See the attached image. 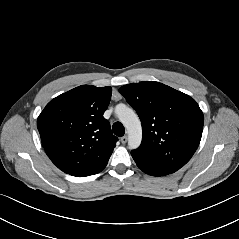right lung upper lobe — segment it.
<instances>
[{
	"label": "right lung upper lobe",
	"instance_id": "right-lung-upper-lobe-1",
	"mask_svg": "<svg viewBox=\"0 0 239 239\" xmlns=\"http://www.w3.org/2000/svg\"><path fill=\"white\" fill-rule=\"evenodd\" d=\"M111 87L82 85L51 100L37 119L42 145L63 172L85 177L101 172L116 146L103 117Z\"/></svg>",
	"mask_w": 239,
	"mask_h": 239
}]
</instances>
